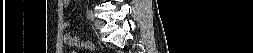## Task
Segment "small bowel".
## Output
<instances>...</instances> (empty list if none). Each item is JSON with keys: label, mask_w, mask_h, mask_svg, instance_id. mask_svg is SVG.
I'll return each instance as SVG.
<instances>
[{"label": "small bowel", "mask_w": 253, "mask_h": 53, "mask_svg": "<svg viewBox=\"0 0 253 53\" xmlns=\"http://www.w3.org/2000/svg\"><path fill=\"white\" fill-rule=\"evenodd\" d=\"M67 2V1H64ZM63 26L65 29H67L69 27V22L65 21L63 23ZM65 43L69 46H78L79 40L72 34H66L65 35Z\"/></svg>", "instance_id": "small-bowel-1"}]
</instances>
